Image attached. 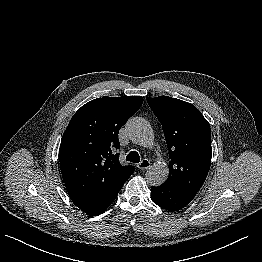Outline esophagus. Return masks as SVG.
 Segmentation results:
<instances>
[{
    "label": "esophagus",
    "instance_id": "esophagus-1",
    "mask_svg": "<svg viewBox=\"0 0 262 262\" xmlns=\"http://www.w3.org/2000/svg\"><path fill=\"white\" fill-rule=\"evenodd\" d=\"M151 163L148 159H143L139 164H137V167L140 170H146L150 167Z\"/></svg>",
    "mask_w": 262,
    "mask_h": 262
}]
</instances>
